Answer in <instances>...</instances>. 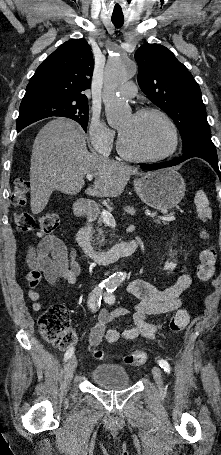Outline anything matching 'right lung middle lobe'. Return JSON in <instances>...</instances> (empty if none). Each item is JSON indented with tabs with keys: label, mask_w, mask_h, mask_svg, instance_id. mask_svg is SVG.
Instances as JSON below:
<instances>
[{
	"label": "right lung middle lobe",
	"mask_w": 221,
	"mask_h": 455,
	"mask_svg": "<svg viewBox=\"0 0 221 455\" xmlns=\"http://www.w3.org/2000/svg\"><path fill=\"white\" fill-rule=\"evenodd\" d=\"M87 101H49L20 106L17 119V131L27 125L51 116H62L77 121L85 131L88 122Z\"/></svg>",
	"instance_id": "dd1d6c3e"
}]
</instances>
